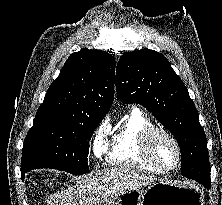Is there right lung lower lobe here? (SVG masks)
Listing matches in <instances>:
<instances>
[{"label":"right lung lower lobe","mask_w":222,"mask_h":205,"mask_svg":"<svg viewBox=\"0 0 222 205\" xmlns=\"http://www.w3.org/2000/svg\"><path fill=\"white\" fill-rule=\"evenodd\" d=\"M31 171L30 169H21V178L24 179L25 173Z\"/></svg>","instance_id":"98d812e1"}]
</instances>
